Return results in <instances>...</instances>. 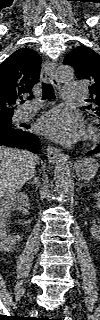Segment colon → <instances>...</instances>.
<instances>
[{"instance_id": "5ec220e1", "label": "colon", "mask_w": 100, "mask_h": 320, "mask_svg": "<svg viewBox=\"0 0 100 320\" xmlns=\"http://www.w3.org/2000/svg\"><path fill=\"white\" fill-rule=\"evenodd\" d=\"M52 320H60V319H52Z\"/></svg>"}]
</instances>
